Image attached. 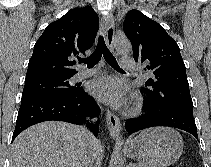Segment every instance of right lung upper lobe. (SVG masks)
I'll return each instance as SVG.
<instances>
[{"mask_svg": "<svg viewBox=\"0 0 211 167\" xmlns=\"http://www.w3.org/2000/svg\"><path fill=\"white\" fill-rule=\"evenodd\" d=\"M99 20L90 6L69 10L49 24L37 40L25 81L49 76H73L72 66L91 48Z\"/></svg>", "mask_w": 211, "mask_h": 167, "instance_id": "cb5924a9", "label": "right lung upper lobe"}]
</instances>
